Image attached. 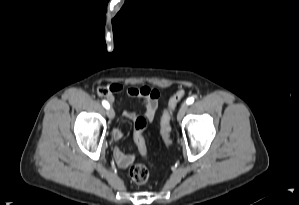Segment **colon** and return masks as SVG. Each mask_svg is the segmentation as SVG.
Here are the masks:
<instances>
[{
    "instance_id": "5ec220e1",
    "label": "colon",
    "mask_w": 299,
    "mask_h": 205,
    "mask_svg": "<svg viewBox=\"0 0 299 205\" xmlns=\"http://www.w3.org/2000/svg\"><path fill=\"white\" fill-rule=\"evenodd\" d=\"M98 95L103 97H110L112 94L111 87L103 86L99 87L97 90ZM185 95L184 90L177 91L168 101L167 107L161 118V136L166 146H170V121L172 114L177 106V104L182 100ZM147 120L144 116L139 115L134 119V140L138 147V150L143 156H146V144L144 139V131L147 127ZM129 177L136 184H144L149 177V172L147 168L142 164H135L129 169Z\"/></svg>"
}]
</instances>
